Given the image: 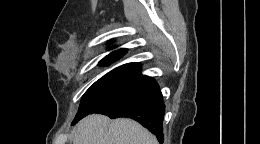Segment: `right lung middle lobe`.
<instances>
[{
  "label": "right lung middle lobe",
  "instance_id": "obj_1",
  "mask_svg": "<svg viewBox=\"0 0 260 144\" xmlns=\"http://www.w3.org/2000/svg\"><path fill=\"white\" fill-rule=\"evenodd\" d=\"M135 71L112 70L96 81L83 95L74 119L90 114L96 107L123 89L136 75Z\"/></svg>",
  "mask_w": 260,
  "mask_h": 144
}]
</instances>
